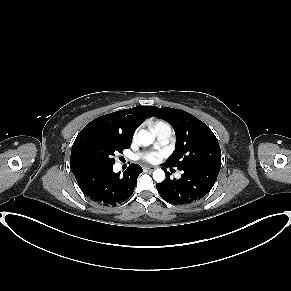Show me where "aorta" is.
<instances>
[{
    "instance_id": "1",
    "label": "aorta",
    "mask_w": 291,
    "mask_h": 291,
    "mask_svg": "<svg viewBox=\"0 0 291 291\" xmlns=\"http://www.w3.org/2000/svg\"><path fill=\"white\" fill-rule=\"evenodd\" d=\"M138 141L141 145L148 146L153 143L154 141V136L145 131V130H140L138 133ZM153 179L157 182H162L165 179V173L162 169H157L153 172Z\"/></svg>"
}]
</instances>
